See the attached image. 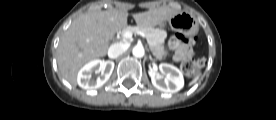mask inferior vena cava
<instances>
[{"label": "inferior vena cava", "mask_w": 276, "mask_h": 120, "mask_svg": "<svg viewBox=\"0 0 276 120\" xmlns=\"http://www.w3.org/2000/svg\"><path fill=\"white\" fill-rule=\"evenodd\" d=\"M129 48L128 44L125 43H115L112 44L108 49V56L111 59L119 57L121 54L127 51Z\"/></svg>", "instance_id": "1"}]
</instances>
